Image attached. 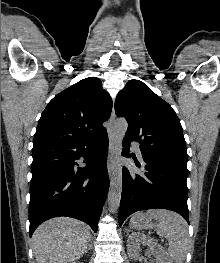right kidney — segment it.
<instances>
[{
  "mask_svg": "<svg viewBox=\"0 0 220 263\" xmlns=\"http://www.w3.org/2000/svg\"><path fill=\"white\" fill-rule=\"evenodd\" d=\"M72 263H82V262H80V261H77V262H72Z\"/></svg>",
  "mask_w": 220,
  "mask_h": 263,
  "instance_id": "ca27d5eb",
  "label": "right kidney"
}]
</instances>
